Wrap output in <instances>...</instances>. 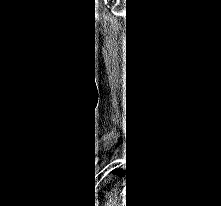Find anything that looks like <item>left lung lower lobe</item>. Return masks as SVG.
<instances>
[{
	"label": "left lung lower lobe",
	"instance_id": "obj_1",
	"mask_svg": "<svg viewBox=\"0 0 221 206\" xmlns=\"http://www.w3.org/2000/svg\"><path fill=\"white\" fill-rule=\"evenodd\" d=\"M100 166V162H99ZM89 168L91 170L95 169V159L93 158L89 163ZM114 174L125 176L127 180H132L134 177V170L132 169L131 165L129 163H126L124 165L118 166L117 169L113 171Z\"/></svg>",
	"mask_w": 221,
	"mask_h": 206
}]
</instances>
